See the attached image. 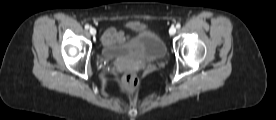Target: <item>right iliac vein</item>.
I'll return each instance as SVG.
<instances>
[{
	"label": "right iliac vein",
	"instance_id": "right-iliac-vein-1",
	"mask_svg": "<svg viewBox=\"0 0 276 120\" xmlns=\"http://www.w3.org/2000/svg\"><path fill=\"white\" fill-rule=\"evenodd\" d=\"M89 31H90V34H92V35L96 34V29L93 27H91Z\"/></svg>",
	"mask_w": 276,
	"mask_h": 120
}]
</instances>
